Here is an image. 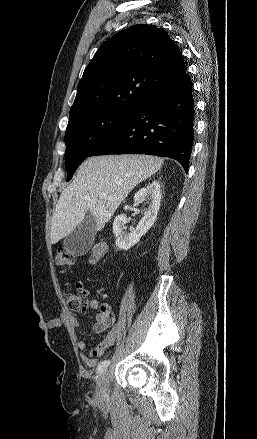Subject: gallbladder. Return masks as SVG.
<instances>
[{
  "instance_id": "bac80fb5",
  "label": "gallbladder",
  "mask_w": 257,
  "mask_h": 439,
  "mask_svg": "<svg viewBox=\"0 0 257 439\" xmlns=\"http://www.w3.org/2000/svg\"><path fill=\"white\" fill-rule=\"evenodd\" d=\"M96 235L95 218L90 214L64 239V248L76 256L85 255Z\"/></svg>"
}]
</instances>
